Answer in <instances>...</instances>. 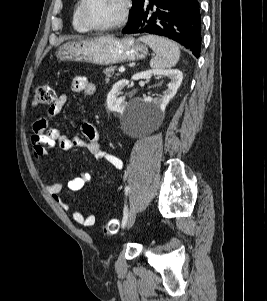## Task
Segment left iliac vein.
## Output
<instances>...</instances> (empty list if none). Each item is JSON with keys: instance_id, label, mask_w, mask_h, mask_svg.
<instances>
[{"instance_id": "obj_1", "label": "left iliac vein", "mask_w": 267, "mask_h": 301, "mask_svg": "<svg viewBox=\"0 0 267 301\" xmlns=\"http://www.w3.org/2000/svg\"><path fill=\"white\" fill-rule=\"evenodd\" d=\"M136 214H137V209L134 205H132L130 207L129 210V215H128V219H127V228H131L135 222L136 219Z\"/></svg>"}]
</instances>
